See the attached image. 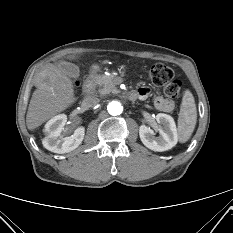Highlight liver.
I'll use <instances>...</instances> for the list:
<instances>
[{
  "instance_id": "1",
  "label": "liver",
  "mask_w": 233,
  "mask_h": 233,
  "mask_svg": "<svg viewBox=\"0 0 233 233\" xmlns=\"http://www.w3.org/2000/svg\"><path fill=\"white\" fill-rule=\"evenodd\" d=\"M67 58L76 59V56L68 55ZM61 62L47 64L35 76L37 89L32 94L26 115L29 130L39 127L54 115L70 107L76 100L73 83L60 68Z\"/></svg>"
}]
</instances>
